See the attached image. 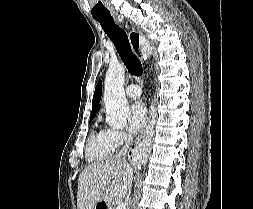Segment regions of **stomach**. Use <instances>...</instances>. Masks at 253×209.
<instances>
[{
  "label": "stomach",
  "mask_w": 253,
  "mask_h": 209,
  "mask_svg": "<svg viewBox=\"0 0 253 209\" xmlns=\"http://www.w3.org/2000/svg\"><path fill=\"white\" fill-rule=\"evenodd\" d=\"M112 191V188L108 187L106 191H102V196H99V199H97V204L95 205L94 209H114V204L111 202L112 196H110Z\"/></svg>",
  "instance_id": "0dacf381"
}]
</instances>
